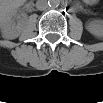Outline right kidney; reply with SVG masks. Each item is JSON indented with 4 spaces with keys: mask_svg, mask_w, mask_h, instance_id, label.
<instances>
[{
    "mask_svg": "<svg viewBox=\"0 0 103 103\" xmlns=\"http://www.w3.org/2000/svg\"><path fill=\"white\" fill-rule=\"evenodd\" d=\"M8 3L1 7L0 13V31L5 39H15L20 34V26L22 21L16 23L14 18L17 15V7L9 8Z\"/></svg>",
    "mask_w": 103,
    "mask_h": 103,
    "instance_id": "ca27d5eb",
    "label": "right kidney"
}]
</instances>
